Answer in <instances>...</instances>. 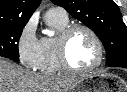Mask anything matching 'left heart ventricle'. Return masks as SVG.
Wrapping results in <instances>:
<instances>
[{
	"instance_id": "1",
	"label": "left heart ventricle",
	"mask_w": 127,
	"mask_h": 92,
	"mask_svg": "<svg viewBox=\"0 0 127 92\" xmlns=\"http://www.w3.org/2000/svg\"><path fill=\"white\" fill-rule=\"evenodd\" d=\"M97 47L92 37L85 31H76L68 45L70 63L78 69L91 66L97 59Z\"/></svg>"
}]
</instances>
